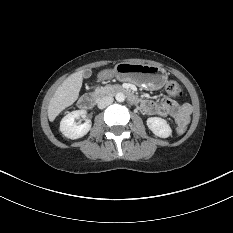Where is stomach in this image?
I'll list each match as a JSON object with an SVG mask.
<instances>
[{
    "instance_id": "0dacf381",
    "label": "stomach",
    "mask_w": 233,
    "mask_h": 233,
    "mask_svg": "<svg viewBox=\"0 0 233 233\" xmlns=\"http://www.w3.org/2000/svg\"><path fill=\"white\" fill-rule=\"evenodd\" d=\"M99 79L116 77L129 80L138 85H145L150 89H160L167 82V73L164 69L148 65L129 62L118 63L112 70H104L98 75Z\"/></svg>"
}]
</instances>
